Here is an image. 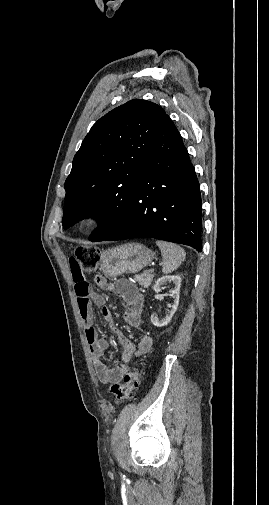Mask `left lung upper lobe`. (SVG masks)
<instances>
[{
  "label": "left lung upper lobe",
  "instance_id": "1",
  "mask_svg": "<svg viewBox=\"0 0 269 505\" xmlns=\"http://www.w3.org/2000/svg\"><path fill=\"white\" fill-rule=\"evenodd\" d=\"M166 115L155 103L133 99L92 126L65 181L64 229L96 217L91 237L96 241L126 220L146 155Z\"/></svg>",
  "mask_w": 269,
  "mask_h": 505
}]
</instances>
